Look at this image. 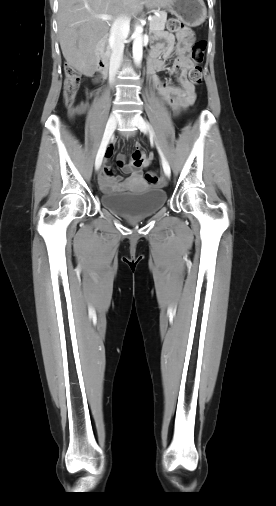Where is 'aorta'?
Listing matches in <instances>:
<instances>
[{"label": "aorta", "instance_id": "aorta-1", "mask_svg": "<svg viewBox=\"0 0 276 506\" xmlns=\"http://www.w3.org/2000/svg\"><path fill=\"white\" fill-rule=\"evenodd\" d=\"M143 28L140 25H137L135 27L134 33H133V59L136 64V66H140L142 62L143 57Z\"/></svg>", "mask_w": 276, "mask_h": 506}]
</instances>
